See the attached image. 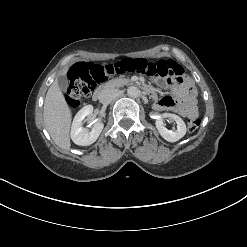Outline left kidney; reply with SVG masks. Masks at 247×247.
Listing matches in <instances>:
<instances>
[{
    "label": "left kidney",
    "mask_w": 247,
    "mask_h": 247,
    "mask_svg": "<svg viewBox=\"0 0 247 247\" xmlns=\"http://www.w3.org/2000/svg\"><path fill=\"white\" fill-rule=\"evenodd\" d=\"M162 117H169L177 124L176 130H168L162 118L156 120L155 125L160 135L169 142H176L186 134V125L181 117L172 113H165Z\"/></svg>",
    "instance_id": "left-kidney-1"
}]
</instances>
